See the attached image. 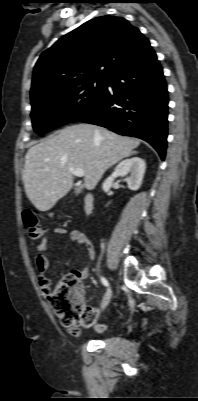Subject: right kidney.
I'll list each match as a JSON object with an SVG mask.
<instances>
[{"label": "right kidney", "mask_w": 198, "mask_h": 401, "mask_svg": "<svg viewBox=\"0 0 198 401\" xmlns=\"http://www.w3.org/2000/svg\"><path fill=\"white\" fill-rule=\"evenodd\" d=\"M146 169V163L139 157H133L120 162L114 172L103 183L102 189L104 192H109L113 181L118 176H127L126 182L132 191L140 188Z\"/></svg>", "instance_id": "right-kidney-1"}]
</instances>
